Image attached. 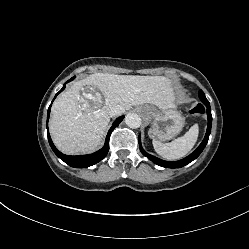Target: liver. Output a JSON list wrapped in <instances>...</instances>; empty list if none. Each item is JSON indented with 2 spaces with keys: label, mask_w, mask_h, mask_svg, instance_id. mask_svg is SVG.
Here are the masks:
<instances>
[{
  "label": "liver",
  "mask_w": 249,
  "mask_h": 249,
  "mask_svg": "<svg viewBox=\"0 0 249 249\" xmlns=\"http://www.w3.org/2000/svg\"><path fill=\"white\" fill-rule=\"evenodd\" d=\"M86 88L99 95L82 96ZM176 92L171 81L162 76L115 75L95 73L74 82L53 103L49 123L56 147L68 155L94 151L101 143L110 122L109 109L120 105L151 104L159 110L175 106Z\"/></svg>",
  "instance_id": "1"
}]
</instances>
